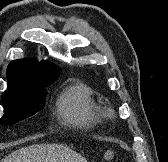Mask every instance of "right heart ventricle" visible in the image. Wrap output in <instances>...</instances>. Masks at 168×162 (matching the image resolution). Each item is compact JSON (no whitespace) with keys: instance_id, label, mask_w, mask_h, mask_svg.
<instances>
[{"instance_id":"1","label":"right heart ventricle","mask_w":168,"mask_h":162,"mask_svg":"<svg viewBox=\"0 0 168 162\" xmlns=\"http://www.w3.org/2000/svg\"><path fill=\"white\" fill-rule=\"evenodd\" d=\"M57 112L64 122L83 129L96 126L103 118L101 106L83 83H75L64 91L57 102Z\"/></svg>"}]
</instances>
